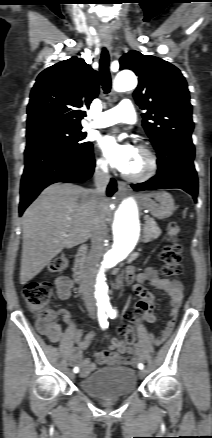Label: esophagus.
Returning <instances> with one entry per match:
<instances>
[{
	"label": "esophagus",
	"instance_id": "obj_1",
	"mask_svg": "<svg viewBox=\"0 0 212 438\" xmlns=\"http://www.w3.org/2000/svg\"><path fill=\"white\" fill-rule=\"evenodd\" d=\"M106 46H109L108 43H105ZM118 189L120 192L125 193L127 191V185L123 181H118Z\"/></svg>",
	"mask_w": 212,
	"mask_h": 438
}]
</instances>
